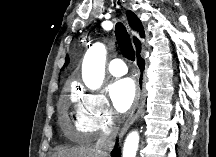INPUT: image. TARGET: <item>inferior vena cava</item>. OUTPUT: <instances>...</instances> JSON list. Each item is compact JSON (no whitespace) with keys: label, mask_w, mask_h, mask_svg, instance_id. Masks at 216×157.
Wrapping results in <instances>:
<instances>
[{"label":"inferior vena cava","mask_w":216,"mask_h":157,"mask_svg":"<svg viewBox=\"0 0 216 157\" xmlns=\"http://www.w3.org/2000/svg\"><path fill=\"white\" fill-rule=\"evenodd\" d=\"M116 133L111 131H103L95 145L96 152L99 157H110L115 144Z\"/></svg>","instance_id":"inferior-vena-cava-1"}]
</instances>
